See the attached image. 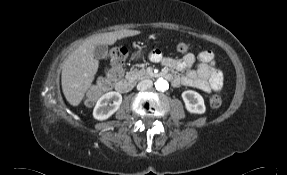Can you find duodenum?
Instances as JSON below:
<instances>
[{
  "mask_svg": "<svg viewBox=\"0 0 287 175\" xmlns=\"http://www.w3.org/2000/svg\"><path fill=\"white\" fill-rule=\"evenodd\" d=\"M168 79H170V80L173 82V79H172V76H171V75H168ZM132 87H133V82H132V80H130V79L122 80V81L119 82L118 85H117V89H118L119 91H123V92H126V91L131 90Z\"/></svg>",
  "mask_w": 287,
  "mask_h": 175,
  "instance_id": "obj_1",
  "label": "duodenum"
}]
</instances>
